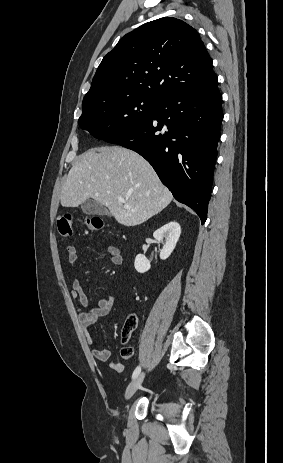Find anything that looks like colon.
Listing matches in <instances>:
<instances>
[{"label": "colon", "instance_id": "obj_1", "mask_svg": "<svg viewBox=\"0 0 283 463\" xmlns=\"http://www.w3.org/2000/svg\"><path fill=\"white\" fill-rule=\"evenodd\" d=\"M81 225L91 231H100L106 227L105 222L99 217H89L82 220ZM73 225L74 219L71 216H62L57 221V228L59 234L64 237L71 236L73 234ZM136 319L135 317H130L126 321V324L123 329V342L126 343L129 337V333L135 328ZM134 349L131 346H123L121 349V355L124 359L129 360L134 357Z\"/></svg>", "mask_w": 283, "mask_h": 463}]
</instances>
